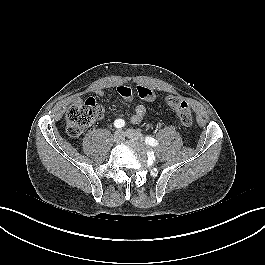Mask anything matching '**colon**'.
Returning <instances> with one entry per match:
<instances>
[{"instance_id": "5ec220e1", "label": "colon", "mask_w": 265, "mask_h": 265, "mask_svg": "<svg viewBox=\"0 0 265 265\" xmlns=\"http://www.w3.org/2000/svg\"><path fill=\"white\" fill-rule=\"evenodd\" d=\"M138 97L145 101H153L155 93L149 87L138 85L136 87ZM166 103L177 114L184 126H190L193 122L190 105L178 96H168ZM103 115L102 106L94 99H88L84 103L73 105L66 113V128L70 136L77 137L83 133L87 126L100 119Z\"/></svg>"}]
</instances>
